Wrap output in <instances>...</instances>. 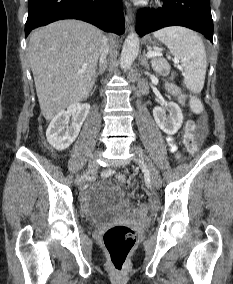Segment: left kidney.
<instances>
[{
  "label": "left kidney",
  "instance_id": "1",
  "mask_svg": "<svg viewBox=\"0 0 233 284\" xmlns=\"http://www.w3.org/2000/svg\"><path fill=\"white\" fill-rule=\"evenodd\" d=\"M166 110L169 114H166ZM153 116L160 129L169 135L177 133L183 124L182 111L174 102L169 103L167 109L155 107L153 109Z\"/></svg>",
  "mask_w": 233,
  "mask_h": 284
}]
</instances>
